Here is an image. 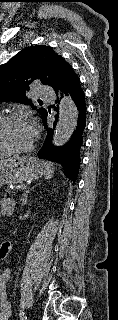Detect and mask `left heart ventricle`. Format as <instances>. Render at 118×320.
<instances>
[{
	"label": "left heart ventricle",
	"instance_id": "obj_1",
	"mask_svg": "<svg viewBox=\"0 0 118 320\" xmlns=\"http://www.w3.org/2000/svg\"><path fill=\"white\" fill-rule=\"evenodd\" d=\"M33 129L27 122H11L3 127L1 139L13 149L27 147L33 139Z\"/></svg>",
	"mask_w": 118,
	"mask_h": 320
}]
</instances>
